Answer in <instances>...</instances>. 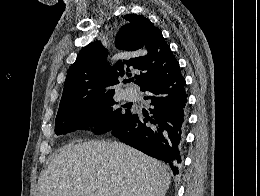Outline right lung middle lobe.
<instances>
[{"label": "right lung middle lobe", "mask_w": 260, "mask_h": 196, "mask_svg": "<svg viewBox=\"0 0 260 196\" xmlns=\"http://www.w3.org/2000/svg\"><path fill=\"white\" fill-rule=\"evenodd\" d=\"M111 93H99L80 99L58 111L55 120V133L63 135L85 127L88 121L96 125L92 130L103 134L128 120L134 112L116 108Z\"/></svg>", "instance_id": "1"}]
</instances>
